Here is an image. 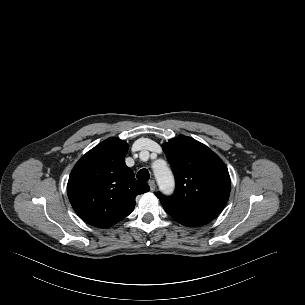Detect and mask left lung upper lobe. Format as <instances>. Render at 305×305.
I'll use <instances>...</instances> for the list:
<instances>
[{
	"label": "left lung upper lobe",
	"mask_w": 305,
	"mask_h": 305,
	"mask_svg": "<svg viewBox=\"0 0 305 305\" xmlns=\"http://www.w3.org/2000/svg\"><path fill=\"white\" fill-rule=\"evenodd\" d=\"M176 188L171 197L158 193L172 218L211 221L225 207L231 189L228 169L204 144L181 136L163 145Z\"/></svg>",
	"instance_id": "left-lung-upper-lobe-1"
}]
</instances>
